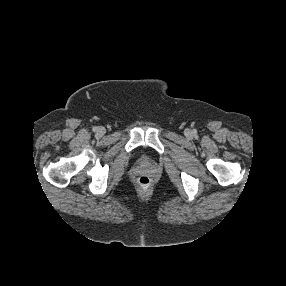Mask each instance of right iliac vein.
<instances>
[{
	"instance_id": "obj_1",
	"label": "right iliac vein",
	"mask_w": 286,
	"mask_h": 286,
	"mask_svg": "<svg viewBox=\"0 0 286 286\" xmlns=\"http://www.w3.org/2000/svg\"><path fill=\"white\" fill-rule=\"evenodd\" d=\"M97 133L99 134V135H103L104 133H105V129L104 128H98L97 129Z\"/></svg>"
}]
</instances>
